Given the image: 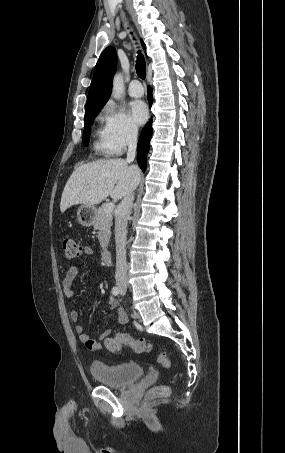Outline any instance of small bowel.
<instances>
[{"mask_svg":"<svg viewBox=\"0 0 285 453\" xmlns=\"http://www.w3.org/2000/svg\"><path fill=\"white\" fill-rule=\"evenodd\" d=\"M83 253L85 255H91L93 253L92 247L84 246ZM77 272L78 270L75 266H70L62 281V289L67 297H72L74 294V280L77 276ZM108 306L110 309H116L118 307V301L114 297L110 296ZM69 316L73 322H77L79 320V312L76 309H72ZM117 321L119 324H125L128 321V316L122 308L117 310ZM75 331L78 334L81 343L90 351L100 350L102 347L100 340L106 339L111 334V329H105L100 335V340H97L88 334L85 331L84 326L81 324H77L75 326Z\"/></svg>","mask_w":285,"mask_h":453,"instance_id":"1","label":"small bowel"}]
</instances>
